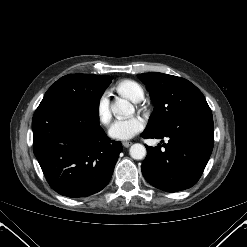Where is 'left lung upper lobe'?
<instances>
[{
  "label": "left lung upper lobe",
  "instance_id": "obj_1",
  "mask_svg": "<svg viewBox=\"0 0 247 247\" xmlns=\"http://www.w3.org/2000/svg\"><path fill=\"white\" fill-rule=\"evenodd\" d=\"M137 76L147 86L156 105L146 131L160 132L193 114L211 112L201 91L184 78L163 73Z\"/></svg>",
  "mask_w": 247,
  "mask_h": 247
}]
</instances>
